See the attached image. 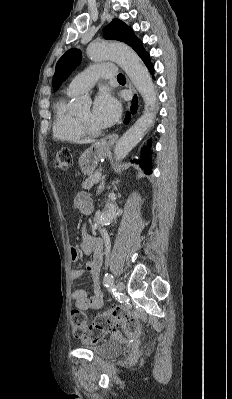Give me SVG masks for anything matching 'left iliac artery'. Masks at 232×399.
<instances>
[{"mask_svg": "<svg viewBox=\"0 0 232 399\" xmlns=\"http://www.w3.org/2000/svg\"><path fill=\"white\" fill-rule=\"evenodd\" d=\"M114 279L113 275L110 273H106L104 276V286L109 288L116 300H120L122 297V294L118 291L116 286L114 285Z\"/></svg>", "mask_w": 232, "mask_h": 399, "instance_id": "left-iliac-artery-1", "label": "left iliac artery"}]
</instances>
